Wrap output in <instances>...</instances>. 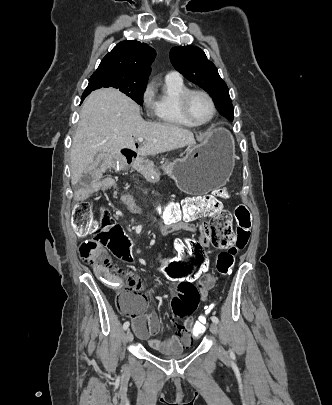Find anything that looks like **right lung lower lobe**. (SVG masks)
Returning a JSON list of instances; mask_svg holds the SVG:
<instances>
[{
    "label": "right lung lower lobe",
    "mask_w": 332,
    "mask_h": 405,
    "mask_svg": "<svg viewBox=\"0 0 332 405\" xmlns=\"http://www.w3.org/2000/svg\"><path fill=\"white\" fill-rule=\"evenodd\" d=\"M91 91H84V93H83V95H82V98H81V102L85 99V97L87 96V95H89V93H90Z\"/></svg>",
    "instance_id": "right-lung-lower-lobe-1"
}]
</instances>
